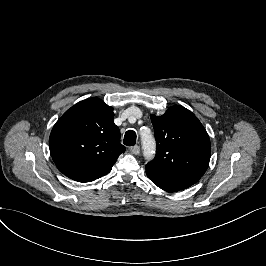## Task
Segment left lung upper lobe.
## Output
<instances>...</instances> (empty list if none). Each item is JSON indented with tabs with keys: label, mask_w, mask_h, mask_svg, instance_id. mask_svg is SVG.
I'll return each instance as SVG.
<instances>
[{
	"label": "left lung upper lobe",
	"mask_w": 266,
	"mask_h": 266,
	"mask_svg": "<svg viewBox=\"0 0 266 266\" xmlns=\"http://www.w3.org/2000/svg\"><path fill=\"white\" fill-rule=\"evenodd\" d=\"M157 152L146 165L147 175L188 188L208 168L211 146L209 136L188 109L172 106L160 117L151 116Z\"/></svg>",
	"instance_id": "obj_1"
}]
</instances>
